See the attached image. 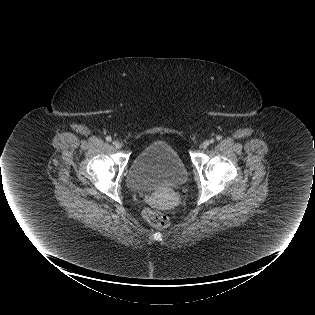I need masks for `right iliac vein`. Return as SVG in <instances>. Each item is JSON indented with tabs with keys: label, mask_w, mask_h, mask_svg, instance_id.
<instances>
[{
	"label": "right iliac vein",
	"mask_w": 315,
	"mask_h": 315,
	"mask_svg": "<svg viewBox=\"0 0 315 315\" xmlns=\"http://www.w3.org/2000/svg\"><path fill=\"white\" fill-rule=\"evenodd\" d=\"M112 143L118 149H120L122 147V144L119 141H117V140H114Z\"/></svg>",
	"instance_id": "obj_1"
}]
</instances>
